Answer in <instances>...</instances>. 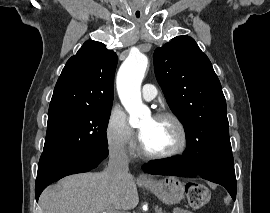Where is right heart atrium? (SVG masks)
Masks as SVG:
<instances>
[{"label":"right heart atrium","instance_id":"obj_1","mask_svg":"<svg viewBox=\"0 0 270 213\" xmlns=\"http://www.w3.org/2000/svg\"><path fill=\"white\" fill-rule=\"evenodd\" d=\"M105 137L110 153L121 158H129L135 152L136 146L133 133L128 125L126 114L114 107L109 115Z\"/></svg>","mask_w":270,"mask_h":213}]
</instances>
